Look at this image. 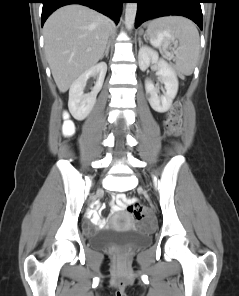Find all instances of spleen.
Instances as JSON below:
<instances>
[{
  "label": "spleen",
  "mask_w": 239,
  "mask_h": 296,
  "mask_svg": "<svg viewBox=\"0 0 239 296\" xmlns=\"http://www.w3.org/2000/svg\"><path fill=\"white\" fill-rule=\"evenodd\" d=\"M170 25L179 33V46L176 54V69L184 74L191 75L193 73L200 48L199 33L195 25L187 19L180 17H169L151 22L148 32L151 33L155 28L163 25Z\"/></svg>",
  "instance_id": "spleen-1"
}]
</instances>
